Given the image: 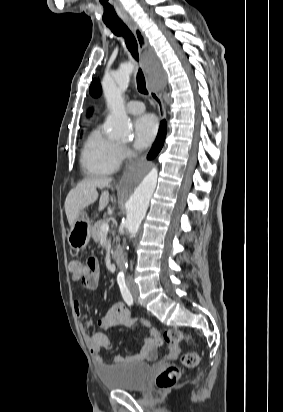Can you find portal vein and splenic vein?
Listing matches in <instances>:
<instances>
[{
	"instance_id": "portal-vein-and-splenic-vein-1",
	"label": "portal vein and splenic vein",
	"mask_w": 283,
	"mask_h": 412,
	"mask_svg": "<svg viewBox=\"0 0 283 412\" xmlns=\"http://www.w3.org/2000/svg\"><path fill=\"white\" fill-rule=\"evenodd\" d=\"M109 231V224L108 223H104L101 226V233H107Z\"/></svg>"
}]
</instances>
